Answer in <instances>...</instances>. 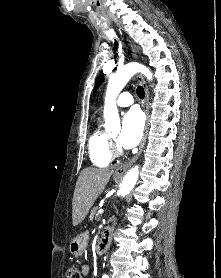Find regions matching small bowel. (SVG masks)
<instances>
[{"label":"small bowel","instance_id":"1","mask_svg":"<svg viewBox=\"0 0 221 278\" xmlns=\"http://www.w3.org/2000/svg\"><path fill=\"white\" fill-rule=\"evenodd\" d=\"M81 271H82L83 276L87 277L90 273V268L88 265H84V266H82Z\"/></svg>","mask_w":221,"mask_h":278}]
</instances>
